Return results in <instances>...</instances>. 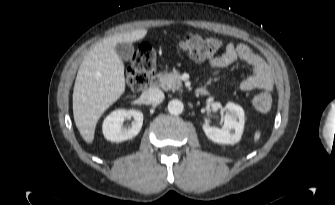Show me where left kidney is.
Masks as SVG:
<instances>
[{
    "instance_id": "1",
    "label": "left kidney",
    "mask_w": 335,
    "mask_h": 205,
    "mask_svg": "<svg viewBox=\"0 0 335 205\" xmlns=\"http://www.w3.org/2000/svg\"><path fill=\"white\" fill-rule=\"evenodd\" d=\"M224 125L222 128L204 123L205 135L216 143L235 144L240 141L244 129V110L241 106L229 102L225 106Z\"/></svg>"
}]
</instances>
